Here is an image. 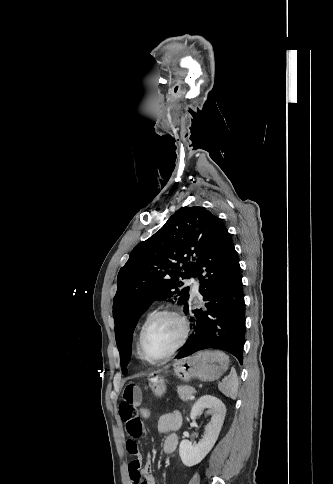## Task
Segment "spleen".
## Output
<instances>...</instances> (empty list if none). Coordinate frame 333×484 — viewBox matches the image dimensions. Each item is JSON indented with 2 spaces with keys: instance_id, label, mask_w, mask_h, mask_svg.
<instances>
[{
  "instance_id": "spleen-1",
  "label": "spleen",
  "mask_w": 333,
  "mask_h": 484,
  "mask_svg": "<svg viewBox=\"0 0 333 484\" xmlns=\"http://www.w3.org/2000/svg\"><path fill=\"white\" fill-rule=\"evenodd\" d=\"M218 389L231 399H236L238 394V377L234 369L218 384Z\"/></svg>"
}]
</instances>
